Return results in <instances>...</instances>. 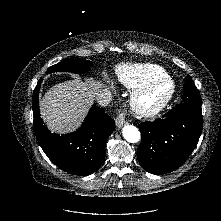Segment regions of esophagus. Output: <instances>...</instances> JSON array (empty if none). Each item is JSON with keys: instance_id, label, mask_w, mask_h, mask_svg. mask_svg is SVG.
Listing matches in <instances>:
<instances>
[{"instance_id": "obj_1", "label": "esophagus", "mask_w": 221, "mask_h": 221, "mask_svg": "<svg viewBox=\"0 0 221 221\" xmlns=\"http://www.w3.org/2000/svg\"><path fill=\"white\" fill-rule=\"evenodd\" d=\"M116 125L118 128H122L124 125H126V120H125V112H119V114L117 115L116 119H115Z\"/></svg>"}]
</instances>
